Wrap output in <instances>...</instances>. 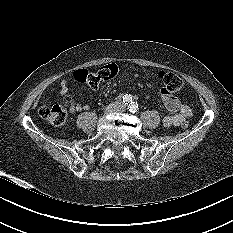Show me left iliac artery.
<instances>
[{
	"mask_svg": "<svg viewBox=\"0 0 233 233\" xmlns=\"http://www.w3.org/2000/svg\"><path fill=\"white\" fill-rule=\"evenodd\" d=\"M128 109L131 113H135L138 110V105L135 102H131L128 106Z\"/></svg>",
	"mask_w": 233,
	"mask_h": 233,
	"instance_id": "1",
	"label": "left iliac artery"
}]
</instances>
